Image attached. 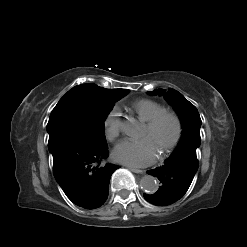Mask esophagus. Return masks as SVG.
Segmentation results:
<instances>
[{"instance_id":"34e87169","label":"esophagus","mask_w":247,"mask_h":247,"mask_svg":"<svg viewBox=\"0 0 247 247\" xmlns=\"http://www.w3.org/2000/svg\"><path fill=\"white\" fill-rule=\"evenodd\" d=\"M129 170L132 171V172H134V173H140V174H143L144 173L143 170L132 168V167H129Z\"/></svg>"}]
</instances>
